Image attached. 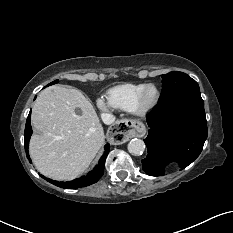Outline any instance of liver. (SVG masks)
<instances>
[{
    "label": "liver",
    "mask_w": 233,
    "mask_h": 233,
    "mask_svg": "<svg viewBox=\"0 0 233 233\" xmlns=\"http://www.w3.org/2000/svg\"><path fill=\"white\" fill-rule=\"evenodd\" d=\"M40 134L30 140L37 170L54 180H73L91 164L104 143V133L90 101L72 87L54 85L40 92L31 115Z\"/></svg>",
    "instance_id": "1"
}]
</instances>
